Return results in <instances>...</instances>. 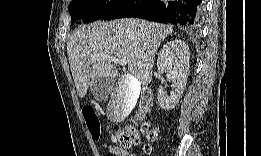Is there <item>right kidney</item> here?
<instances>
[{
	"mask_svg": "<svg viewBox=\"0 0 261 156\" xmlns=\"http://www.w3.org/2000/svg\"><path fill=\"white\" fill-rule=\"evenodd\" d=\"M157 68L161 72L166 69L170 72L169 78L173 83V91L166 94L161 85L158 88L159 106L164 110H170L179 102L186 87L189 72L188 45L180 39L167 42L158 55ZM136 97L135 92L132 98Z\"/></svg>",
	"mask_w": 261,
	"mask_h": 156,
	"instance_id": "right-kidney-1",
	"label": "right kidney"
}]
</instances>
